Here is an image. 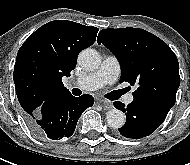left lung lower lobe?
I'll return each mask as SVG.
<instances>
[{"label":"left lung lower lobe","instance_id":"obj_1","mask_svg":"<svg viewBox=\"0 0 190 165\" xmlns=\"http://www.w3.org/2000/svg\"><path fill=\"white\" fill-rule=\"evenodd\" d=\"M114 107L126 115V123L119 132L126 138L139 139L153 133L165 120L170 104L153 100H133L127 107L116 101Z\"/></svg>","mask_w":190,"mask_h":165}]
</instances>
